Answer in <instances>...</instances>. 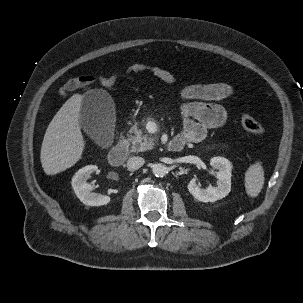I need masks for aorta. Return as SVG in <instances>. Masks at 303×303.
<instances>
[{
    "label": "aorta",
    "mask_w": 303,
    "mask_h": 303,
    "mask_svg": "<svg viewBox=\"0 0 303 303\" xmlns=\"http://www.w3.org/2000/svg\"><path fill=\"white\" fill-rule=\"evenodd\" d=\"M152 172L156 177H164L167 173V167L162 163H157L153 165Z\"/></svg>",
    "instance_id": "762f6f07"
}]
</instances>
